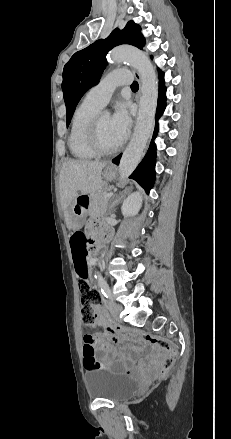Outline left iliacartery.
<instances>
[{"mask_svg":"<svg viewBox=\"0 0 231 439\" xmlns=\"http://www.w3.org/2000/svg\"><path fill=\"white\" fill-rule=\"evenodd\" d=\"M98 284L101 288V292L102 294L106 297V298H111V291L109 289V286L106 282V280L104 278H99L98 279Z\"/></svg>","mask_w":231,"mask_h":439,"instance_id":"obj_1","label":"left iliac artery"}]
</instances>
